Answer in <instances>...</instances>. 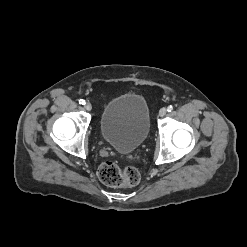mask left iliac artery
<instances>
[{
	"label": "left iliac artery",
	"mask_w": 247,
	"mask_h": 247,
	"mask_svg": "<svg viewBox=\"0 0 247 247\" xmlns=\"http://www.w3.org/2000/svg\"><path fill=\"white\" fill-rule=\"evenodd\" d=\"M172 110H173V106L172 105H170V106L167 107V111L168 112H171Z\"/></svg>",
	"instance_id": "obj_1"
}]
</instances>
